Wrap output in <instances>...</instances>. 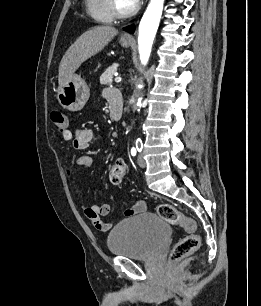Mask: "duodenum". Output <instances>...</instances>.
<instances>
[{"label": "duodenum", "mask_w": 261, "mask_h": 306, "mask_svg": "<svg viewBox=\"0 0 261 306\" xmlns=\"http://www.w3.org/2000/svg\"><path fill=\"white\" fill-rule=\"evenodd\" d=\"M110 116L113 120L118 121L122 117V102L113 101L110 105Z\"/></svg>", "instance_id": "1"}]
</instances>
